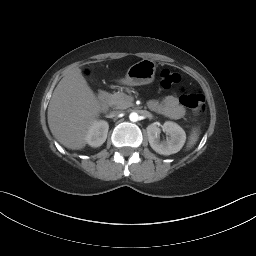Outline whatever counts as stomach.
<instances>
[{
	"label": "stomach",
	"instance_id": "stomach-1",
	"mask_svg": "<svg viewBox=\"0 0 256 256\" xmlns=\"http://www.w3.org/2000/svg\"><path fill=\"white\" fill-rule=\"evenodd\" d=\"M155 72V62L149 59H143L130 66L125 77L119 79L118 83L128 86L149 84L154 81Z\"/></svg>",
	"mask_w": 256,
	"mask_h": 256
}]
</instances>
